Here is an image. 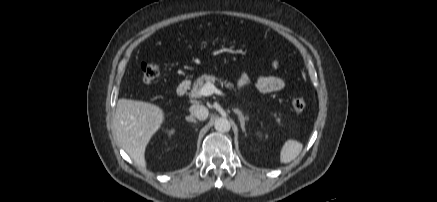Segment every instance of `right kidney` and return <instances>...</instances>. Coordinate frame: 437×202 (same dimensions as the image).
Returning <instances> with one entry per match:
<instances>
[{
	"label": "right kidney",
	"instance_id": "obj_1",
	"mask_svg": "<svg viewBox=\"0 0 437 202\" xmlns=\"http://www.w3.org/2000/svg\"><path fill=\"white\" fill-rule=\"evenodd\" d=\"M173 133H174V130L169 131V135H171V134H173Z\"/></svg>",
	"mask_w": 437,
	"mask_h": 202
}]
</instances>
